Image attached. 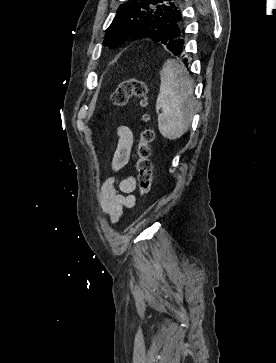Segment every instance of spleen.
Listing matches in <instances>:
<instances>
[{"mask_svg":"<svg viewBox=\"0 0 276 363\" xmlns=\"http://www.w3.org/2000/svg\"><path fill=\"white\" fill-rule=\"evenodd\" d=\"M160 80L156 101L158 129L164 138L176 140L188 131L193 118L195 97L192 81L186 68L174 59L164 63Z\"/></svg>","mask_w":276,"mask_h":363,"instance_id":"spleen-1","label":"spleen"}]
</instances>
